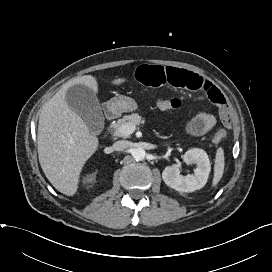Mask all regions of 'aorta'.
I'll use <instances>...</instances> for the list:
<instances>
[{"mask_svg":"<svg viewBox=\"0 0 272 272\" xmlns=\"http://www.w3.org/2000/svg\"><path fill=\"white\" fill-rule=\"evenodd\" d=\"M132 156L136 161H142L146 157V151L142 148H136L132 151Z\"/></svg>","mask_w":272,"mask_h":272,"instance_id":"obj_1","label":"aorta"}]
</instances>
